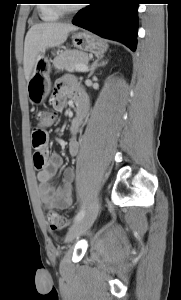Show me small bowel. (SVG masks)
<instances>
[{
  "instance_id": "obj_1",
  "label": "small bowel",
  "mask_w": 181,
  "mask_h": 300,
  "mask_svg": "<svg viewBox=\"0 0 181 300\" xmlns=\"http://www.w3.org/2000/svg\"><path fill=\"white\" fill-rule=\"evenodd\" d=\"M68 97L74 99L76 107H81V112H77L71 121L69 127L70 139L67 143L69 154L76 156L79 152L78 134L86 116L87 97L73 77L63 76L56 81L54 86L51 99L53 107L59 111L63 110ZM43 155L45 158L43 166L40 168L36 167L38 169L37 179L39 181L38 192L40 201L46 209L67 210L73 202L75 170L72 167L64 169L61 184L53 186L51 181L61 169L63 161L56 153L47 155L43 151Z\"/></svg>"
}]
</instances>
